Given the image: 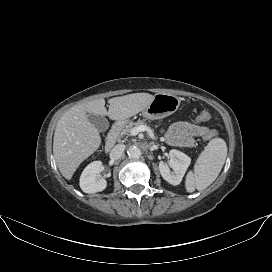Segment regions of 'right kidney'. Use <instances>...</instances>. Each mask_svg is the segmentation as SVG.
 <instances>
[{"label":"right kidney","mask_w":272,"mask_h":272,"mask_svg":"<svg viewBox=\"0 0 272 272\" xmlns=\"http://www.w3.org/2000/svg\"><path fill=\"white\" fill-rule=\"evenodd\" d=\"M102 169L101 161H94L90 163L82 172L80 176V188L85 193H96L103 191L107 182L100 176Z\"/></svg>","instance_id":"1"}]
</instances>
